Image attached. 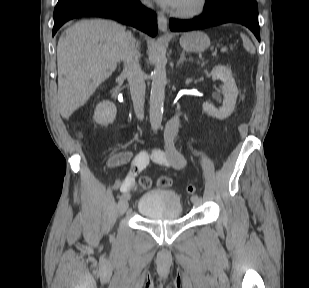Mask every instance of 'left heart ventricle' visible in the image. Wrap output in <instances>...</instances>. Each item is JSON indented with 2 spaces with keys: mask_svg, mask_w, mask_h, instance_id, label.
<instances>
[{
  "mask_svg": "<svg viewBox=\"0 0 309 288\" xmlns=\"http://www.w3.org/2000/svg\"><path fill=\"white\" fill-rule=\"evenodd\" d=\"M196 0H179L175 9L191 8L195 5Z\"/></svg>",
  "mask_w": 309,
  "mask_h": 288,
  "instance_id": "obj_1",
  "label": "left heart ventricle"
}]
</instances>
